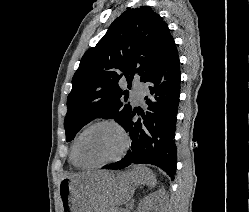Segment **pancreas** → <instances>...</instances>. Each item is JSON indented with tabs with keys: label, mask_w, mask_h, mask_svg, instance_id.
<instances>
[{
	"label": "pancreas",
	"mask_w": 249,
	"mask_h": 212,
	"mask_svg": "<svg viewBox=\"0 0 249 212\" xmlns=\"http://www.w3.org/2000/svg\"><path fill=\"white\" fill-rule=\"evenodd\" d=\"M109 212H113V208H110Z\"/></svg>",
	"instance_id": "pancreas-1"
}]
</instances>
